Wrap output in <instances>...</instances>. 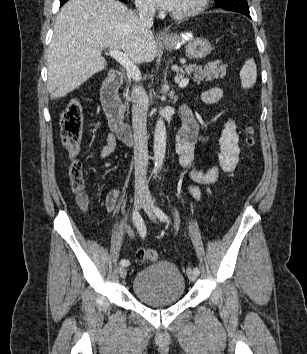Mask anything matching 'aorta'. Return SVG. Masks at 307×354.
Returning <instances> with one entry per match:
<instances>
[{
  "label": "aorta",
  "mask_w": 307,
  "mask_h": 354,
  "mask_svg": "<svg viewBox=\"0 0 307 354\" xmlns=\"http://www.w3.org/2000/svg\"><path fill=\"white\" fill-rule=\"evenodd\" d=\"M154 172L157 173L164 162L166 153V126L162 118L157 120L154 132Z\"/></svg>",
  "instance_id": "aorta-1"
}]
</instances>
